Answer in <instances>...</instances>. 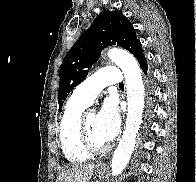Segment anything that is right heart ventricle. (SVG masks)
<instances>
[{
	"instance_id": "e07e8e85",
	"label": "right heart ventricle",
	"mask_w": 196,
	"mask_h": 182,
	"mask_svg": "<svg viewBox=\"0 0 196 182\" xmlns=\"http://www.w3.org/2000/svg\"><path fill=\"white\" fill-rule=\"evenodd\" d=\"M87 105L72 97L66 104L58 128V136L65 158L72 164H81L89 159L78 143L77 128L79 118Z\"/></svg>"
}]
</instances>
